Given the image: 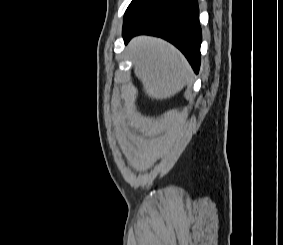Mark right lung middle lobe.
<instances>
[{
	"instance_id": "1",
	"label": "right lung middle lobe",
	"mask_w": 283,
	"mask_h": 245,
	"mask_svg": "<svg viewBox=\"0 0 283 245\" xmlns=\"http://www.w3.org/2000/svg\"><path fill=\"white\" fill-rule=\"evenodd\" d=\"M152 0H132L128 6L125 15L124 22L130 20L135 14H137L142 8L148 5Z\"/></svg>"
}]
</instances>
